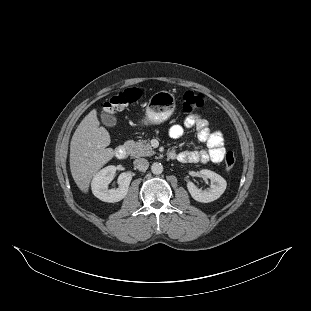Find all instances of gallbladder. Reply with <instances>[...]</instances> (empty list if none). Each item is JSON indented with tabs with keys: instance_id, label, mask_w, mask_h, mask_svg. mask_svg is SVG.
<instances>
[{
	"instance_id": "bac80fb5",
	"label": "gallbladder",
	"mask_w": 311,
	"mask_h": 311,
	"mask_svg": "<svg viewBox=\"0 0 311 311\" xmlns=\"http://www.w3.org/2000/svg\"><path fill=\"white\" fill-rule=\"evenodd\" d=\"M102 120L106 125H114L115 124V117L110 114H103Z\"/></svg>"
}]
</instances>
